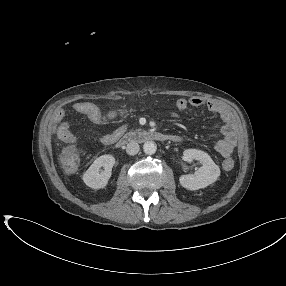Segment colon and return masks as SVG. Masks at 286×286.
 Returning <instances> with one entry per match:
<instances>
[{
	"mask_svg": "<svg viewBox=\"0 0 286 286\" xmlns=\"http://www.w3.org/2000/svg\"><path fill=\"white\" fill-rule=\"evenodd\" d=\"M62 140L66 143V145L61 153V163L66 169L73 170L78 166L79 153L69 138L65 137ZM233 165L234 162L232 159H228L224 162L225 169H231Z\"/></svg>",
	"mask_w": 286,
	"mask_h": 286,
	"instance_id": "1",
	"label": "colon"
}]
</instances>
